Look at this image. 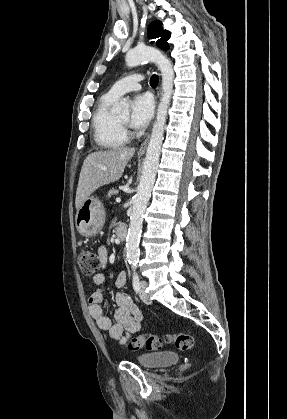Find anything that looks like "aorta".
Here are the masks:
<instances>
[{"label": "aorta", "mask_w": 287, "mask_h": 419, "mask_svg": "<svg viewBox=\"0 0 287 419\" xmlns=\"http://www.w3.org/2000/svg\"><path fill=\"white\" fill-rule=\"evenodd\" d=\"M125 61L128 67H135L143 61H152L158 65L162 76V96L157 109L156 120L152 127L142 176L137 193L133 199L130 225L126 237V259L131 267L135 269L140 255L139 241L143 218L151 197L159 165L167 112L173 92L174 70L170 60L165 55L159 50L147 46L129 50L126 54ZM117 109L127 113L128 104L123 101L118 105Z\"/></svg>", "instance_id": "aorta-1"}]
</instances>
